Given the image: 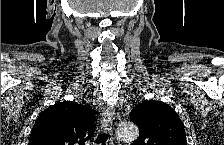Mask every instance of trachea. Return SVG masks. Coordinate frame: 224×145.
I'll return each mask as SVG.
<instances>
[{
	"mask_svg": "<svg viewBox=\"0 0 224 145\" xmlns=\"http://www.w3.org/2000/svg\"><path fill=\"white\" fill-rule=\"evenodd\" d=\"M108 139V135L106 133H100L98 136H97V139H96V143L97 144H101V145H105L106 144V141Z\"/></svg>",
	"mask_w": 224,
	"mask_h": 145,
	"instance_id": "3493384b",
	"label": "trachea"
}]
</instances>
